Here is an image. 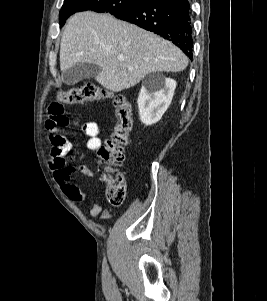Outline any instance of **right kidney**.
<instances>
[{"mask_svg": "<svg viewBox=\"0 0 267 301\" xmlns=\"http://www.w3.org/2000/svg\"><path fill=\"white\" fill-rule=\"evenodd\" d=\"M175 88L176 81L171 78L143 86L137 100L141 122L145 125L157 123L168 109Z\"/></svg>", "mask_w": 267, "mask_h": 301, "instance_id": "1", "label": "right kidney"}]
</instances>
